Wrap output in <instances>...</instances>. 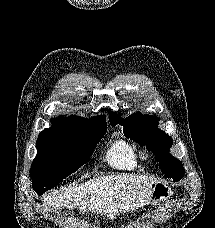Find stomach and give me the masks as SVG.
Here are the masks:
<instances>
[{
	"mask_svg": "<svg viewBox=\"0 0 215 228\" xmlns=\"http://www.w3.org/2000/svg\"><path fill=\"white\" fill-rule=\"evenodd\" d=\"M151 188V202L153 206H160L162 202H166V200H169L171 196V190L169 186H167V184H164V182H154Z\"/></svg>",
	"mask_w": 215,
	"mask_h": 228,
	"instance_id": "obj_1",
	"label": "stomach"
}]
</instances>
